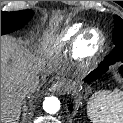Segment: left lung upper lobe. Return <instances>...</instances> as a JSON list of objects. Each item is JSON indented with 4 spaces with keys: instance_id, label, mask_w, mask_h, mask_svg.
<instances>
[{
    "instance_id": "left-lung-upper-lobe-1",
    "label": "left lung upper lobe",
    "mask_w": 123,
    "mask_h": 123,
    "mask_svg": "<svg viewBox=\"0 0 123 123\" xmlns=\"http://www.w3.org/2000/svg\"><path fill=\"white\" fill-rule=\"evenodd\" d=\"M113 42L115 47L104 60L111 63L123 62V20L117 15L114 19Z\"/></svg>"
}]
</instances>
